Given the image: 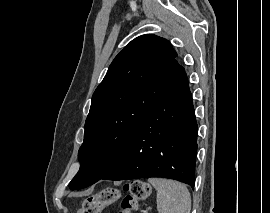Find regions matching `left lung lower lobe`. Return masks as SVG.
<instances>
[{
    "label": "left lung lower lobe",
    "instance_id": "1",
    "mask_svg": "<svg viewBox=\"0 0 270 213\" xmlns=\"http://www.w3.org/2000/svg\"><path fill=\"white\" fill-rule=\"evenodd\" d=\"M197 123L184 73L138 125L103 180L163 177L195 185Z\"/></svg>",
    "mask_w": 270,
    "mask_h": 213
}]
</instances>
